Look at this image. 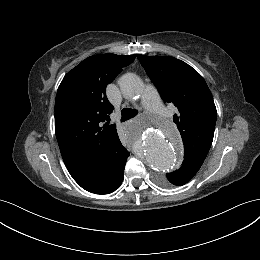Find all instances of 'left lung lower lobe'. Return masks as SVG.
<instances>
[{
  "mask_svg": "<svg viewBox=\"0 0 260 260\" xmlns=\"http://www.w3.org/2000/svg\"><path fill=\"white\" fill-rule=\"evenodd\" d=\"M199 169L200 166L191 162H186L183 163L182 166L175 172L167 173L166 177L167 180L173 185L181 186L190 181Z\"/></svg>",
  "mask_w": 260,
  "mask_h": 260,
  "instance_id": "obj_1",
  "label": "left lung lower lobe"
}]
</instances>
